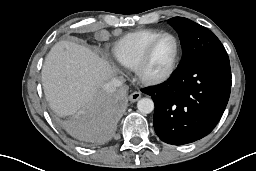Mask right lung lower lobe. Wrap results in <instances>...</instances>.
I'll list each match as a JSON object with an SVG mask.
<instances>
[{"mask_svg": "<svg viewBox=\"0 0 256 171\" xmlns=\"http://www.w3.org/2000/svg\"><path fill=\"white\" fill-rule=\"evenodd\" d=\"M126 103L124 91L104 94L84 114L72 118L66 124V130L86 143L106 142L115 132Z\"/></svg>", "mask_w": 256, "mask_h": 171, "instance_id": "right-lung-lower-lobe-1", "label": "right lung lower lobe"}]
</instances>
